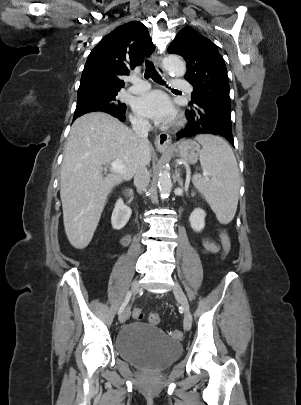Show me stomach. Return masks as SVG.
Masks as SVG:
<instances>
[{"mask_svg": "<svg viewBox=\"0 0 301 405\" xmlns=\"http://www.w3.org/2000/svg\"><path fill=\"white\" fill-rule=\"evenodd\" d=\"M164 152L165 150H160ZM170 151L180 160L194 164L201 154L200 145L193 140H183L170 148Z\"/></svg>", "mask_w": 301, "mask_h": 405, "instance_id": "0dacf381", "label": "stomach"}]
</instances>
